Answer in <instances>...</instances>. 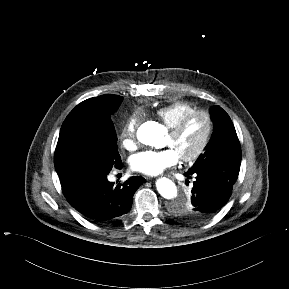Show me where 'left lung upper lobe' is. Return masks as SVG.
I'll use <instances>...</instances> for the list:
<instances>
[{
	"label": "left lung upper lobe",
	"mask_w": 289,
	"mask_h": 289,
	"mask_svg": "<svg viewBox=\"0 0 289 289\" xmlns=\"http://www.w3.org/2000/svg\"><path fill=\"white\" fill-rule=\"evenodd\" d=\"M214 122V131L205 152L199 156L194 165L188 170L196 172L205 169H222L239 173L241 164V148L234 125L228 114L220 107L210 109ZM172 213L184 220H192L189 203L177 202L171 208Z\"/></svg>",
	"instance_id": "1"
}]
</instances>
